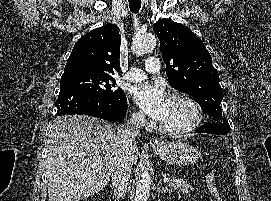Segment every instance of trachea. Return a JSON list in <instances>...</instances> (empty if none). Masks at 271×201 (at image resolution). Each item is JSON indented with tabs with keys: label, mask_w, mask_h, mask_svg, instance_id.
Segmentation results:
<instances>
[{
	"label": "trachea",
	"mask_w": 271,
	"mask_h": 201,
	"mask_svg": "<svg viewBox=\"0 0 271 201\" xmlns=\"http://www.w3.org/2000/svg\"><path fill=\"white\" fill-rule=\"evenodd\" d=\"M129 8L133 13L139 12L141 8V0H128Z\"/></svg>",
	"instance_id": "obj_1"
}]
</instances>
